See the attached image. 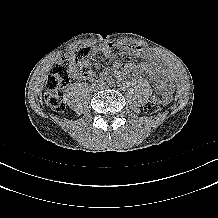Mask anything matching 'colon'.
<instances>
[{
	"label": "colon",
	"mask_w": 218,
	"mask_h": 218,
	"mask_svg": "<svg viewBox=\"0 0 218 218\" xmlns=\"http://www.w3.org/2000/svg\"><path fill=\"white\" fill-rule=\"evenodd\" d=\"M86 50L80 49L62 57L53 67L46 81L44 98L53 109L63 111L65 104L61 96V89L68 85L72 76V68L83 58ZM164 96L161 92L154 94L145 104L144 110L149 114L159 111L164 105Z\"/></svg>",
	"instance_id": "1"
}]
</instances>
